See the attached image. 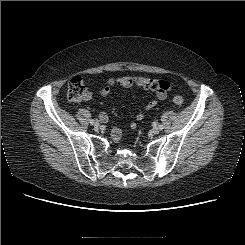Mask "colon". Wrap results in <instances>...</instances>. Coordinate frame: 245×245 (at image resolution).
Masks as SVG:
<instances>
[{
    "instance_id": "1",
    "label": "colon",
    "mask_w": 245,
    "mask_h": 245,
    "mask_svg": "<svg viewBox=\"0 0 245 245\" xmlns=\"http://www.w3.org/2000/svg\"><path fill=\"white\" fill-rule=\"evenodd\" d=\"M117 84L123 87L137 86L145 90L155 91L160 94H167L170 84L165 80L149 77L125 76L117 80ZM87 93L85 83L80 76L70 79L67 85V96L70 101L78 102L85 98ZM184 100L181 96L173 97V103L181 106Z\"/></svg>"
}]
</instances>
